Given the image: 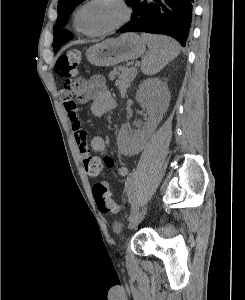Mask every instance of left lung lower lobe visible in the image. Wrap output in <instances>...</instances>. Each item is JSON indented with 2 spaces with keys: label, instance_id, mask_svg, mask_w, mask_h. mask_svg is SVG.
I'll list each match as a JSON object with an SVG mask.
<instances>
[{
  "label": "left lung lower lobe",
  "instance_id": "obj_1",
  "mask_svg": "<svg viewBox=\"0 0 245 300\" xmlns=\"http://www.w3.org/2000/svg\"><path fill=\"white\" fill-rule=\"evenodd\" d=\"M193 0H134L133 18L116 32H147L173 37L185 46L192 19Z\"/></svg>",
  "mask_w": 245,
  "mask_h": 300
}]
</instances>
